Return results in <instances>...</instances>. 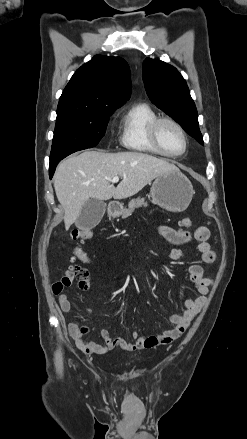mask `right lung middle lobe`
I'll use <instances>...</instances> for the list:
<instances>
[{
	"label": "right lung middle lobe",
	"mask_w": 247,
	"mask_h": 439,
	"mask_svg": "<svg viewBox=\"0 0 247 439\" xmlns=\"http://www.w3.org/2000/svg\"><path fill=\"white\" fill-rule=\"evenodd\" d=\"M113 110L57 109V119L50 154V166L66 156L98 144L104 136Z\"/></svg>",
	"instance_id": "obj_1"
}]
</instances>
